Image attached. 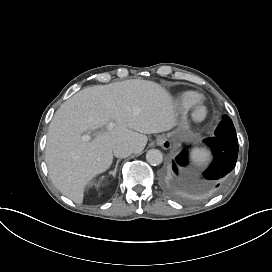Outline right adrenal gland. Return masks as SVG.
<instances>
[{
	"label": "right adrenal gland",
	"instance_id": "1",
	"mask_svg": "<svg viewBox=\"0 0 272 272\" xmlns=\"http://www.w3.org/2000/svg\"><path fill=\"white\" fill-rule=\"evenodd\" d=\"M118 163H119V161H117V165H118ZM117 165H116L115 170H114L113 172H110V173H109L110 176L115 177V174H116V171H117Z\"/></svg>",
	"mask_w": 272,
	"mask_h": 272
}]
</instances>
